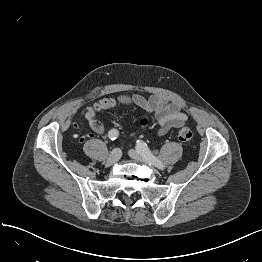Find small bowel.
<instances>
[{
    "mask_svg": "<svg viewBox=\"0 0 262 262\" xmlns=\"http://www.w3.org/2000/svg\"><path fill=\"white\" fill-rule=\"evenodd\" d=\"M116 104L137 106L152 114L158 124L157 134L159 136L165 135L173 128H179L188 120L187 114L182 111L178 102L169 101L159 95H153L146 99L138 94H120L116 98H104L93 105L83 108L82 117L88 123L93 135L102 132L101 126L95 119L96 112L103 111L109 113Z\"/></svg>",
    "mask_w": 262,
    "mask_h": 262,
    "instance_id": "obj_1",
    "label": "small bowel"
}]
</instances>
